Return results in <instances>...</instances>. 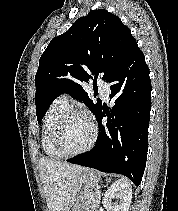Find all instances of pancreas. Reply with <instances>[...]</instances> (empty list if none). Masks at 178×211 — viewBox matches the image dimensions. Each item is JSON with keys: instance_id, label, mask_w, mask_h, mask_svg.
<instances>
[{"instance_id": "pancreas-1", "label": "pancreas", "mask_w": 178, "mask_h": 211, "mask_svg": "<svg viewBox=\"0 0 178 211\" xmlns=\"http://www.w3.org/2000/svg\"><path fill=\"white\" fill-rule=\"evenodd\" d=\"M100 203V195L97 194V191H93L90 193L89 197L85 201L82 206V211H96V208L99 206Z\"/></svg>"}]
</instances>
